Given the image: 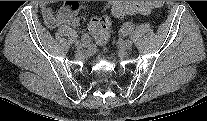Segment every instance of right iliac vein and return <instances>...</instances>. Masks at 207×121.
Returning <instances> with one entry per match:
<instances>
[{
  "label": "right iliac vein",
  "instance_id": "right-iliac-vein-1",
  "mask_svg": "<svg viewBox=\"0 0 207 121\" xmlns=\"http://www.w3.org/2000/svg\"><path fill=\"white\" fill-rule=\"evenodd\" d=\"M75 47H76L77 50H80V49H82L83 44H81L79 41H77V42L75 43Z\"/></svg>",
  "mask_w": 207,
  "mask_h": 121
}]
</instances>
